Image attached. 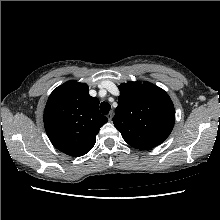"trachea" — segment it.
Returning <instances> with one entry per match:
<instances>
[{
    "mask_svg": "<svg viewBox=\"0 0 220 220\" xmlns=\"http://www.w3.org/2000/svg\"><path fill=\"white\" fill-rule=\"evenodd\" d=\"M110 109H111V106H110L109 103L102 102L100 104V111H101L102 114L107 115L109 113Z\"/></svg>",
    "mask_w": 220,
    "mask_h": 220,
    "instance_id": "1",
    "label": "trachea"
}]
</instances>
